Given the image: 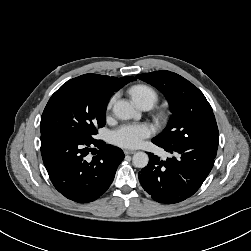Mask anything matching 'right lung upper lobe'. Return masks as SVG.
<instances>
[{"mask_svg":"<svg viewBox=\"0 0 251 251\" xmlns=\"http://www.w3.org/2000/svg\"><path fill=\"white\" fill-rule=\"evenodd\" d=\"M74 79L97 86L109 97H111L114 92H117L125 84L136 80V78L133 76L117 78L98 74H84Z\"/></svg>","mask_w":251,"mask_h":251,"instance_id":"right-lung-upper-lobe-1","label":"right lung upper lobe"}]
</instances>
